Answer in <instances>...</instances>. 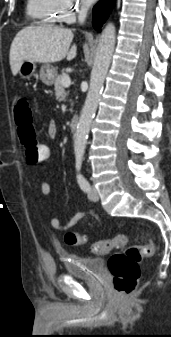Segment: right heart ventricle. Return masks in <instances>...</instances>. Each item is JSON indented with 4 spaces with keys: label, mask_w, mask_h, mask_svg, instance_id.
Instances as JSON below:
<instances>
[{
    "label": "right heart ventricle",
    "mask_w": 171,
    "mask_h": 337,
    "mask_svg": "<svg viewBox=\"0 0 171 337\" xmlns=\"http://www.w3.org/2000/svg\"><path fill=\"white\" fill-rule=\"evenodd\" d=\"M27 14L41 24H54L59 21V13L53 0H28Z\"/></svg>",
    "instance_id": "e07e8e85"
}]
</instances>
